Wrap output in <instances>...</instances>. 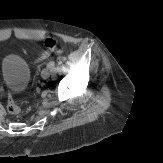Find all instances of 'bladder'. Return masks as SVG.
<instances>
[{
  "mask_svg": "<svg viewBox=\"0 0 163 163\" xmlns=\"http://www.w3.org/2000/svg\"><path fill=\"white\" fill-rule=\"evenodd\" d=\"M31 71L25 60L16 54L6 55L1 62L0 78L12 92L24 91L30 81Z\"/></svg>",
  "mask_w": 163,
  "mask_h": 163,
  "instance_id": "obj_1",
  "label": "bladder"
}]
</instances>
